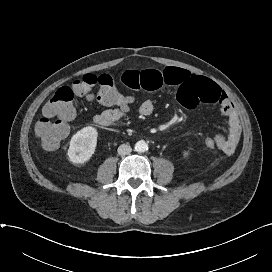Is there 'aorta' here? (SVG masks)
<instances>
[{
	"instance_id": "1",
	"label": "aorta",
	"mask_w": 272,
	"mask_h": 272,
	"mask_svg": "<svg viewBox=\"0 0 272 272\" xmlns=\"http://www.w3.org/2000/svg\"><path fill=\"white\" fill-rule=\"evenodd\" d=\"M135 150L137 152H145L148 150V144L145 141L140 140L135 144Z\"/></svg>"
}]
</instances>
